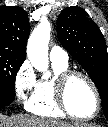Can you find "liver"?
Returning <instances> with one entry per match:
<instances>
[{"instance_id": "liver-1", "label": "liver", "mask_w": 108, "mask_h": 127, "mask_svg": "<svg viewBox=\"0 0 108 127\" xmlns=\"http://www.w3.org/2000/svg\"><path fill=\"white\" fill-rule=\"evenodd\" d=\"M0 127H90V125L68 123L61 120L48 119L24 114H14L10 117L1 114Z\"/></svg>"}]
</instances>
